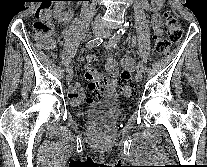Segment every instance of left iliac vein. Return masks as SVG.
<instances>
[{"label": "left iliac vein", "instance_id": "1", "mask_svg": "<svg viewBox=\"0 0 207 167\" xmlns=\"http://www.w3.org/2000/svg\"><path fill=\"white\" fill-rule=\"evenodd\" d=\"M103 35L104 36H110L111 32L109 30H104ZM135 77H136V81L140 82L142 80V71L138 70Z\"/></svg>", "mask_w": 207, "mask_h": 167}]
</instances>
